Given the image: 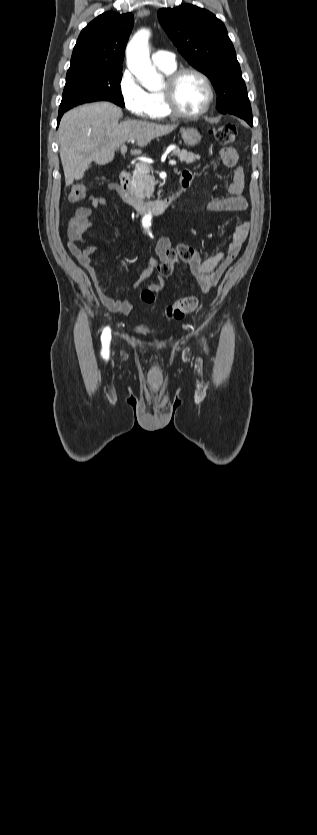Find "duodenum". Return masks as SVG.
Returning a JSON list of instances; mask_svg holds the SVG:
<instances>
[{
	"label": "duodenum",
	"instance_id": "410a0bca",
	"mask_svg": "<svg viewBox=\"0 0 317 835\" xmlns=\"http://www.w3.org/2000/svg\"><path fill=\"white\" fill-rule=\"evenodd\" d=\"M129 183L130 174L127 170H123L119 176V185L126 203L138 212L152 211L156 214H163L170 209L180 196L183 189L188 185L187 183L181 181L180 188L169 197L162 200L145 201L129 193Z\"/></svg>",
	"mask_w": 317,
	"mask_h": 835
}]
</instances>
